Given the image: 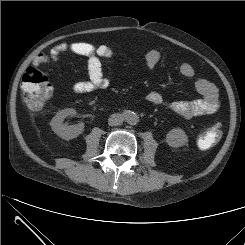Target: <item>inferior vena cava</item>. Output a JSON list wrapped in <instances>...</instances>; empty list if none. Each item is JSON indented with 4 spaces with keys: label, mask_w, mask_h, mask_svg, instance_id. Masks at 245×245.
<instances>
[{
    "label": "inferior vena cava",
    "mask_w": 245,
    "mask_h": 245,
    "mask_svg": "<svg viewBox=\"0 0 245 245\" xmlns=\"http://www.w3.org/2000/svg\"><path fill=\"white\" fill-rule=\"evenodd\" d=\"M124 121V117L121 114H112L108 119V124L110 126L121 125Z\"/></svg>",
    "instance_id": "1"
}]
</instances>
